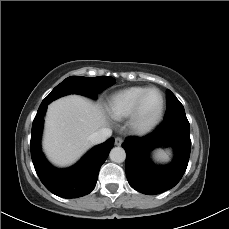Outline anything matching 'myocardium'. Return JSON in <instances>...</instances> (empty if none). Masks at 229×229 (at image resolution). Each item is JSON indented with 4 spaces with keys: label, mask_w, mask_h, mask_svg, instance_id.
I'll list each match as a JSON object with an SVG mask.
<instances>
[{
    "label": "myocardium",
    "mask_w": 229,
    "mask_h": 229,
    "mask_svg": "<svg viewBox=\"0 0 229 229\" xmlns=\"http://www.w3.org/2000/svg\"><path fill=\"white\" fill-rule=\"evenodd\" d=\"M158 92L160 96V107L157 113L150 119H144L142 114V105L149 92ZM165 111V99L163 93L155 87L148 88L137 99L131 114L129 115V128L138 135H145L153 131L161 122Z\"/></svg>",
    "instance_id": "1"
}]
</instances>
